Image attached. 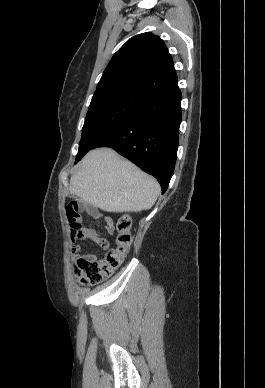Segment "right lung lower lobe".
Wrapping results in <instances>:
<instances>
[{
    "label": "right lung lower lobe",
    "instance_id": "obj_1",
    "mask_svg": "<svg viewBox=\"0 0 265 388\" xmlns=\"http://www.w3.org/2000/svg\"><path fill=\"white\" fill-rule=\"evenodd\" d=\"M178 84L148 97L93 148L110 147L153 175L167 190L174 172L182 119ZM92 148V149H93Z\"/></svg>",
    "mask_w": 265,
    "mask_h": 388
}]
</instances>
